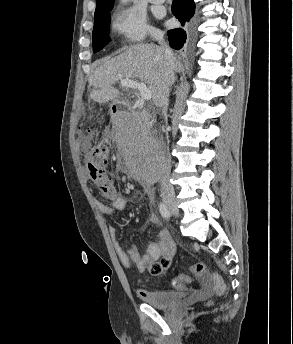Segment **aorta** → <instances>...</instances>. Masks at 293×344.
I'll use <instances>...</instances> for the list:
<instances>
[{
    "instance_id": "762f6f07",
    "label": "aorta",
    "mask_w": 293,
    "mask_h": 344,
    "mask_svg": "<svg viewBox=\"0 0 293 344\" xmlns=\"http://www.w3.org/2000/svg\"><path fill=\"white\" fill-rule=\"evenodd\" d=\"M121 2H122V3H126V2H128V0H121Z\"/></svg>"
}]
</instances>
